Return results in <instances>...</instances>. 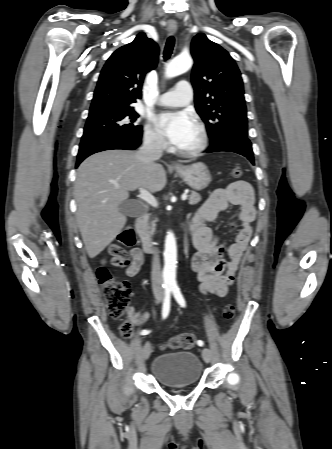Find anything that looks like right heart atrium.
<instances>
[{"label": "right heart atrium", "instance_id": "1", "mask_svg": "<svg viewBox=\"0 0 332 449\" xmlns=\"http://www.w3.org/2000/svg\"><path fill=\"white\" fill-rule=\"evenodd\" d=\"M144 140L147 145L158 150H164L167 146L165 138L151 124L145 128Z\"/></svg>", "mask_w": 332, "mask_h": 449}]
</instances>
